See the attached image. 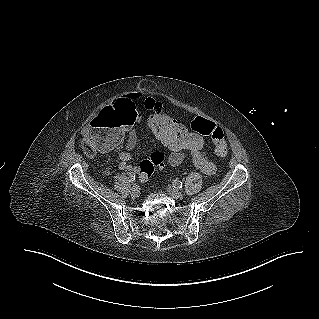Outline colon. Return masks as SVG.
I'll return each mask as SVG.
<instances>
[{
    "instance_id": "obj_1",
    "label": "colon",
    "mask_w": 319,
    "mask_h": 319,
    "mask_svg": "<svg viewBox=\"0 0 319 319\" xmlns=\"http://www.w3.org/2000/svg\"><path fill=\"white\" fill-rule=\"evenodd\" d=\"M147 129L150 134L157 136L163 143L179 152L197 153L205 149L208 139L211 138L215 146V153L218 157H225L228 153L226 142V131L204 117L194 119L192 128L203 135H193V130L176 123L166 113H154L149 116ZM82 149L87 155H93L87 142L86 136L81 143ZM165 162V154L161 151H154L148 159L140 162L138 166L139 178L146 181L154 172L156 167L162 166Z\"/></svg>"
}]
</instances>
